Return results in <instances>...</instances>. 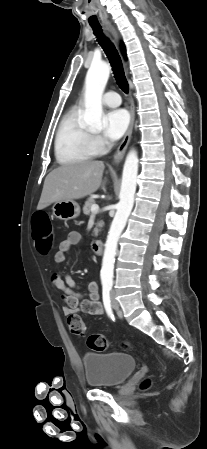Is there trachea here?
I'll return each mask as SVG.
<instances>
[{"instance_id":"1","label":"trachea","mask_w":207,"mask_h":449,"mask_svg":"<svg viewBox=\"0 0 207 449\" xmlns=\"http://www.w3.org/2000/svg\"><path fill=\"white\" fill-rule=\"evenodd\" d=\"M94 33L97 35V40L104 50L107 58L109 59V62L112 66L113 74L116 80V83L121 88V90L125 93L129 90V85L124 73L123 65L121 58L114 47V45L110 42L108 38H106L102 34V27L101 26H92Z\"/></svg>"}]
</instances>
